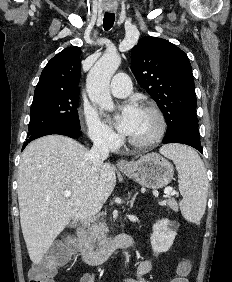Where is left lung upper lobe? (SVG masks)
Here are the masks:
<instances>
[{
    "mask_svg": "<svg viewBox=\"0 0 232 282\" xmlns=\"http://www.w3.org/2000/svg\"><path fill=\"white\" fill-rule=\"evenodd\" d=\"M131 70L163 112L167 124L198 125L191 64L185 52L167 40L145 37L131 51Z\"/></svg>",
    "mask_w": 232,
    "mask_h": 282,
    "instance_id": "left-lung-upper-lobe-1",
    "label": "left lung upper lobe"
}]
</instances>
